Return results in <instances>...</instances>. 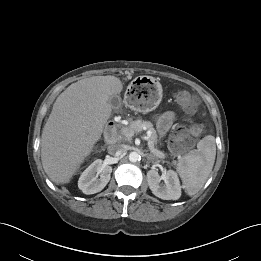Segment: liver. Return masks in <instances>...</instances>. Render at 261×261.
Here are the masks:
<instances>
[{
  "label": "liver",
  "mask_w": 261,
  "mask_h": 261,
  "mask_svg": "<svg viewBox=\"0 0 261 261\" xmlns=\"http://www.w3.org/2000/svg\"><path fill=\"white\" fill-rule=\"evenodd\" d=\"M122 89L115 76H93L71 84L57 97L41 136L42 165L51 181L70 182L101 138L112 111L110 97Z\"/></svg>",
  "instance_id": "obj_1"
}]
</instances>
